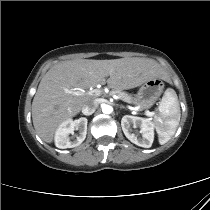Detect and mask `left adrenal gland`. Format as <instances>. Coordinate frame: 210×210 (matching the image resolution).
<instances>
[{
    "label": "left adrenal gland",
    "mask_w": 210,
    "mask_h": 210,
    "mask_svg": "<svg viewBox=\"0 0 210 210\" xmlns=\"http://www.w3.org/2000/svg\"><path fill=\"white\" fill-rule=\"evenodd\" d=\"M120 108L126 109L124 106H120Z\"/></svg>",
    "instance_id": "left-adrenal-gland-1"
}]
</instances>
